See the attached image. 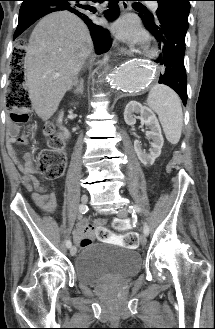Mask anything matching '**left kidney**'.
<instances>
[{"instance_id":"obj_1","label":"left kidney","mask_w":215,"mask_h":329,"mask_svg":"<svg viewBox=\"0 0 215 329\" xmlns=\"http://www.w3.org/2000/svg\"><path fill=\"white\" fill-rule=\"evenodd\" d=\"M140 114L143 123L149 127V131L146 132L148 139L152 140V148L149 153L142 151L141 142L139 140L134 141V149L138 156V159L145 166L152 165L157 157L161 154V149L164 143V139L161 133L159 122L151 109L146 106H142L137 101H130L124 111V120L127 125H134L136 123V116L134 114Z\"/></svg>"}]
</instances>
